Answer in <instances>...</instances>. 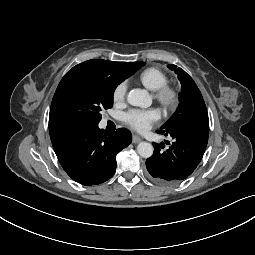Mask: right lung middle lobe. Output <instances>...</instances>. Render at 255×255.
I'll list each match as a JSON object with an SVG mask.
<instances>
[{
    "mask_svg": "<svg viewBox=\"0 0 255 255\" xmlns=\"http://www.w3.org/2000/svg\"><path fill=\"white\" fill-rule=\"evenodd\" d=\"M122 81L100 71H68L54 94L49 123L98 124L101 111L113 106V92Z\"/></svg>",
    "mask_w": 255,
    "mask_h": 255,
    "instance_id": "obj_1",
    "label": "right lung middle lobe"
}]
</instances>
